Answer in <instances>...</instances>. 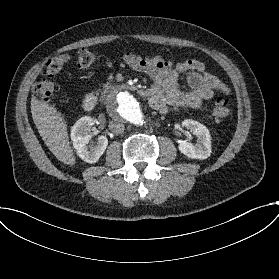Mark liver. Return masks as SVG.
<instances>
[{
    "instance_id": "6515ba94",
    "label": "liver",
    "mask_w": 279,
    "mask_h": 279,
    "mask_svg": "<svg viewBox=\"0 0 279 279\" xmlns=\"http://www.w3.org/2000/svg\"><path fill=\"white\" fill-rule=\"evenodd\" d=\"M31 113L34 124L48 149L59 161L74 165L75 157L70 146L67 125L61 113L45 101L34 97L31 99Z\"/></svg>"
}]
</instances>
